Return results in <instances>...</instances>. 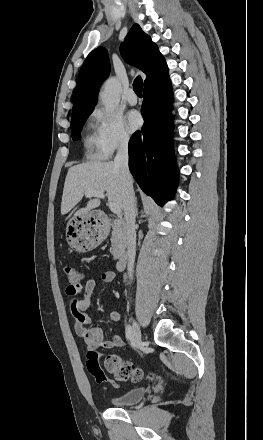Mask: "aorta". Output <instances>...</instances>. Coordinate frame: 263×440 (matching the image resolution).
Masks as SVG:
<instances>
[{
	"mask_svg": "<svg viewBox=\"0 0 263 440\" xmlns=\"http://www.w3.org/2000/svg\"><path fill=\"white\" fill-rule=\"evenodd\" d=\"M121 84L115 77L109 78L100 92V100L107 111H113L119 104Z\"/></svg>",
	"mask_w": 263,
	"mask_h": 440,
	"instance_id": "1",
	"label": "aorta"
}]
</instances>
